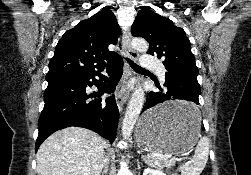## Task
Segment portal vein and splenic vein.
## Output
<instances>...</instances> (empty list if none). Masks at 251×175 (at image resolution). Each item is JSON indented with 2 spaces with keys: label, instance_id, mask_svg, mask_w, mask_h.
I'll return each instance as SVG.
<instances>
[{
  "label": "portal vein and splenic vein",
  "instance_id": "1",
  "mask_svg": "<svg viewBox=\"0 0 251 175\" xmlns=\"http://www.w3.org/2000/svg\"><path fill=\"white\" fill-rule=\"evenodd\" d=\"M150 157H155V154H150ZM156 157L174 158L175 154L174 153L156 154ZM175 161L176 162H187L188 158L187 157H176ZM84 175H87V173H84Z\"/></svg>",
  "mask_w": 251,
  "mask_h": 175
}]
</instances>
